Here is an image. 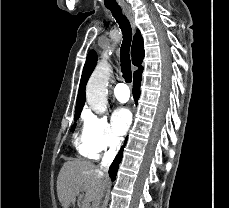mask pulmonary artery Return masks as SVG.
I'll return each mask as SVG.
<instances>
[{"label":"pulmonary artery","mask_w":229,"mask_h":208,"mask_svg":"<svg viewBox=\"0 0 229 208\" xmlns=\"http://www.w3.org/2000/svg\"><path fill=\"white\" fill-rule=\"evenodd\" d=\"M115 97L122 102L127 101L130 98V89L124 83H119L114 88Z\"/></svg>","instance_id":"pulmonary-artery-1"}]
</instances>
